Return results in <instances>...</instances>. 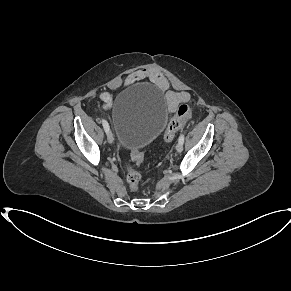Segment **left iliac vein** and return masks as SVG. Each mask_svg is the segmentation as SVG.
Instances as JSON below:
<instances>
[{"label": "left iliac vein", "instance_id": "4c4485c4", "mask_svg": "<svg viewBox=\"0 0 291 291\" xmlns=\"http://www.w3.org/2000/svg\"><path fill=\"white\" fill-rule=\"evenodd\" d=\"M183 150V142H178L176 145V151L181 152Z\"/></svg>", "mask_w": 291, "mask_h": 291}]
</instances>
